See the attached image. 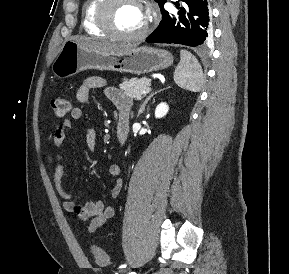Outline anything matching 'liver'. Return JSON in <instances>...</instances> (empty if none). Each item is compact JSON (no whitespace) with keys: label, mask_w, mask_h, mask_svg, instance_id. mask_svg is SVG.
Here are the masks:
<instances>
[{"label":"liver","mask_w":289,"mask_h":274,"mask_svg":"<svg viewBox=\"0 0 289 274\" xmlns=\"http://www.w3.org/2000/svg\"><path fill=\"white\" fill-rule=\"evenodd\" d=\"M77 42L90 49L105 53H122L132 48L131 46L118 45L109 42L91 41L87 39H80Z\"/></svg>","instance_id":"liver-1"}]
</instances>
